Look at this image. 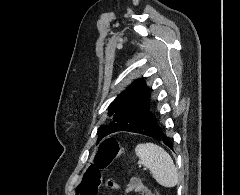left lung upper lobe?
I'll use <instances>...</instances> for the list:
<instances>
[{
    "instance_id": "1",
    "label": "left lung upper lobe",
    "mask_w": 240,
    "mask_h": 195,
    "mask_svg": "<svg viewBox=\"0 0 240 195\" xmlns=\"http://www.w3.org/2000/svg\"><path fill=\"white\" fill-rule=\"evenodd\" d=\"M149 88L143 79L135 80L109 106L108 115L113 122L101 125L98 134L103 138L108 134L121 131L130 124L148 105Z\"/></svg>"
}]
</instances>
